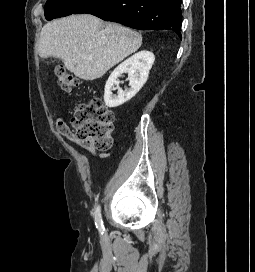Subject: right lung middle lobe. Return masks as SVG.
<instances>
[{
    "label": "right lung middle lobe",
    "instance_id": "obj_1",
    "mask_svg": "<svg viewBox=\"0 0 255 272\" xmlns=\"http://www.w3.org/2000/svg\"><path fill=\"white\" fill-rule=\"evenodd\" d=\"M90 0H48L44 12L47 20L73 14Z\"/></svg>",
    "mask_w": 255,
    "mask_h": 272
}]
</instances>
